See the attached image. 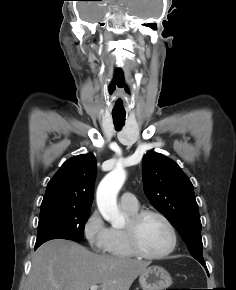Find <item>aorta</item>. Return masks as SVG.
I'll return each mask as SVG.
<instances>
[{"label":"aorta","instance_id":"obj_1","mask_svg":"<svg viewBox=\"0 0 236 290\" xmlns=\"http://www.w3.org/2000/svg\"><path fill=\"white\" fill-rule=\"evenodd\" d=\"M126 174L123 169H115L107 174L100 182L96 200L98 209L105 220L114 228L125 225V217L117 206V194L125 182Z\"/></svg>","mask_w":236,"mask_h":290}]
</instances>
